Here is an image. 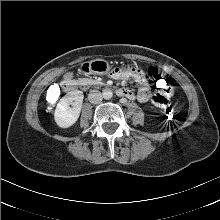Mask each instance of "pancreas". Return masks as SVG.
<instances>
[{
	"instance_id": "cf45deb5",
	"label": "pancreas",
	"mask_w": 220,
	"mask_h": 220,
	"mask_svg": "<svg viewBox=\"0 0 220 220\" xmlns=\"http://www.w3.org/2000/svg\"><path fill=\"white\" fill-rule=\"evenodd\" d=\"M83 81L89 85H102L103 84L102 82L93 80V79H84Z\"/></svg>"
}]
</instances>
